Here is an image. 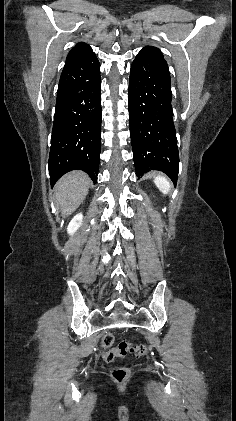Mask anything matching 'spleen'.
Here are the masks:
<instances>
[{
    "mask_svg": "<svg viewBox=\"0 0 236 421\" xmlns=\"http://www.w3.org/2000/svg\"><path fill=\"white\" fill-rule=\"evenodd\" d=\"M154 182H155L156 186H158L159 190H161V192H163V194H168L171 186H170V182H169L168 178H166V176H160V174H158V176H155Z\"/></svg>",
    "mask_w": 236,
    "mask_h": 421,
    "instance_id": "1",
    "label": "spleen"
}]
</instances>
